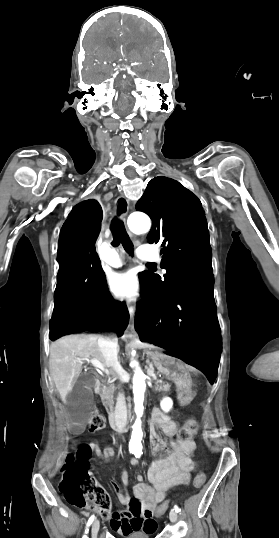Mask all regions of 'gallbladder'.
Instances as JSON below:
<instances>
[{
  "instance_id": "1",
  "label": "gallbladder",
  "mask_w": 279,
  "mask_h": 538,
  "mask_svg": "<svg viewBox=\"0 0 279 538\" xmlns=\"http://www.w3.org/2000/svg\"><path fill=\"white\" fill-rule=\"evenodd\" d=\"M93 386H95L94 376L88 372H81L70 392V398L61 405L63 412H69L67 418L69 422H73L71 424L73 433H80L82 426L91 423L93 419L91 412H88L95 406V398L90 390Z\"/></svg>"
}]
</instances>
